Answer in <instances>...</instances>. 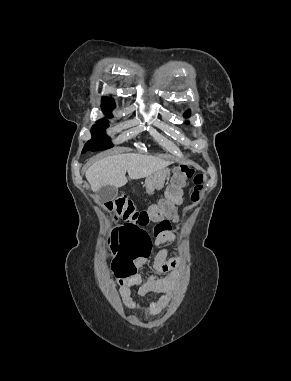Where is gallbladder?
<instances>
[{"instance_id":"gallbladder-1","label":"gallbladder","mask_w":291,"mask_h":381,"mask_svg":"<svg viewBox=\"0 0 291 381\" xmlns=\"http://www.w3.org/2000/svg\"><path fill=\"white\" fill-rule=\"evenodd\" d=\"M97 195L99 202L104 204L114 200L117 197L118 189L114 186H103L98 190Z\"/></svg>"}]
</instances>
